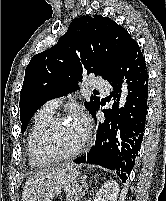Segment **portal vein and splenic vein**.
I'll list each match as a JSON object with an SVG mask.
<instances>
[{
	"label": "portal vein and splenic vein",
	"instance_id": "18ae733b",
	"mask_svg": "<svg viewBox=\"0 0 166 201\" xmlns=\"http://www.w3.org/2000/svg\"><path fill=\"white\" fill-rule=\"evenodd\" d=\"M65 191H70V187H65Z\"/></svg>",
	"mask_w": 166,
	"mask_h": 201
}]
</instances>
